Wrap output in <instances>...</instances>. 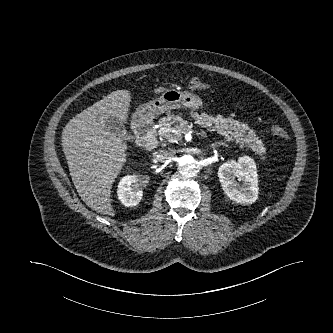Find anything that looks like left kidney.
<instances>
[{"label": "left kidney", "mask_w": 333, "mask_h": 333, "mask_svg": "<svg viewBox=\"0 0 333 333\" xmlns=\"http://www.w3.org/2000/svg\"><path fill=\"white\" fill-rule=\"evenodd\" d=\"M254 160L243 156L220 166L218 177L222 189L231 200L252 204L258 198V177Z\"/></svg>", "instance_id": "1"}]
</instances>
